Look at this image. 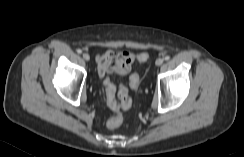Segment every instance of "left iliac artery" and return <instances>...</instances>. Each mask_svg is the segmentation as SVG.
<instances>
[{"instance_id":"obj_1","label":"left iliac artery","mask_w":244,"mask_h":157,"mask_svg":"<svg viewBox=\"0 0 244 157\" xmlns=\"http://www.w3.org/2000/svg\"><path fill=\"white\" fill-rule=\"evenodd\" d=\"M164 59H165L166 61H168V60L170 59V57H169V56H165Z\"/></svg>"}]
</instances>
